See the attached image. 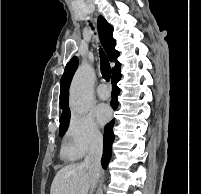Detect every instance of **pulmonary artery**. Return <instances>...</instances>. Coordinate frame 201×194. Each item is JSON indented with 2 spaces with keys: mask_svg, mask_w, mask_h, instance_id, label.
Listing matches in <instances>:
<instances>
[{
  "mask_svg": "<svg viewBox=\"0 0 201 194\" xmlns=\"http://www.w3.org/2000/svg\"><path fill=\"white\" fill-rule=\"evenodd\" d=\"M97 96L101 99V100H106L109 98L110 92L107 88V86L105 84H100L97 87Z\"/></svg>",
  "mask_w": 201,
  "mask_h": 194,
  "instance_id": "e3ab8cb5",
  "label": "pulmonary artery"
}]
</instances>
